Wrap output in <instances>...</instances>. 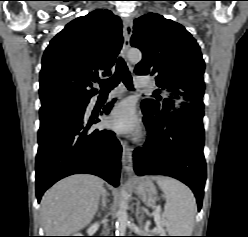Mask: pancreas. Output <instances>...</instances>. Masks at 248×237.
Masks as SVG:
<instances>
[{
    "label": "pancreas",
    "instance_id": "obj_1",
    "mask_svg": "<svg viewBox=\"0 0 248 237\" xmlns=\"http://www.w3.org/2000/svg\"><path fill=\"white\" fill-rule=\"evenodd\" d=\"M161 226H162V225H161ZM157 232H158V233H164L165 230H164L163 228H160V229L157 230Z\"/></svg>",
    "mask_w": 248,
    "mask_h": 237
}]
</instances>
